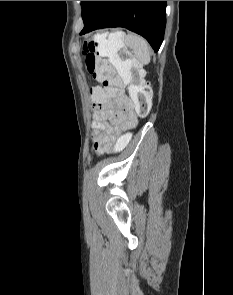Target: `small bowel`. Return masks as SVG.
<instances>
[{
  "label": "small bowel",
  "mask_w": 233,
  "mask_h": 295,
  "mask_svg": "<svg viewBox=\"0 0 233 295\" xmlns=\"http://www.w3.org/2000/svg\"><path fill=\"white\" fill-rule=\"evenodd\" d=\"M92 142L94 151L111 149L117 137L137 124L134 103L122 92L119 95H92Z\"/></svg>",
  "instance_id": "small-bowel-1"
}]
</instances>
